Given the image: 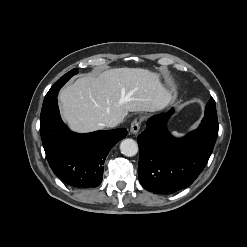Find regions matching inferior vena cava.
<instances>
[{
    "label": "inferior vena cava",
    "instance_id": "inferior-vena-cava-1",
    "mask_svg": "<svg viewBox=\"0 0 247 247\" xmlns=\"http://www.w3.org/2000/svg\"><path fill=\"white\" fill-rule=\"evenodd\" d=\"M120 123V120H111L110 122L107 123V127L113 128L117 126Z\"/></svg>",
    "mask_w": 247,
    "mask_h": 247
}]
</instances>
